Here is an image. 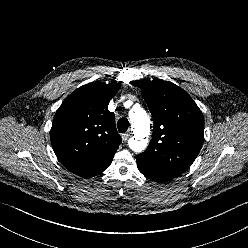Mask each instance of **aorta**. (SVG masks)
Wrapping results in <instances>:
<instances>
[{"label":"aorta","mask_w":248,"mask_h":248,"mask_svg":"<svg viewBox=\"0 0 248 248\" xmlns=\"http://www.w3.org/2000/svg\"><path fill=\"white\" fill-rule=\"evenodd\" d=\"M129 116L134 134L130 141V148L135 152H142L146 147V139L150 135L149 116L141 107L134 108Z\"/></svg>","instance_id":"obj_1"}]
</instances>
